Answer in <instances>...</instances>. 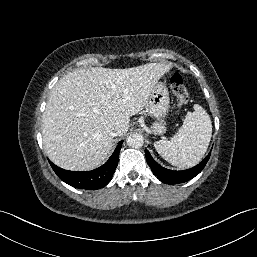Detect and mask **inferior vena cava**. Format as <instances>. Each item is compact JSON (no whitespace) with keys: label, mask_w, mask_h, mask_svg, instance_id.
I'll list each match as a JSON object with an SVG mask.
<instances>
[{"label":"inferior vena cava","mask_w":257,"mask_h":257,"mask_svg":"<svg viewBox=\"0 0 257 257\" xmlns=\"http://www.w3.org/2000/svg\"><path fill=\"white\" fill-rule=\"evenodd\" d=\"M109 135L111 137H116V136H120L121 135V131L117 128L115 129H112L110 132H109Z\"/></svg>","instance_id":"inferior-vena-cava-1"}]
</instances>
